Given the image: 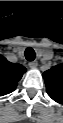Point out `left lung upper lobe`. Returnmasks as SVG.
<instances>
[{"mask_svg":"<svg viewBox=\"0 0 63 123\" xmlns=\"http://www.w3.org/2000/svg\"><path fill=\"white\" fill-rule=\"evenodd\" d=\"M48 95L56 102H63V64L43 73Z\"/></svg>","mask_w":63,"mask_h":123,"instance_id":"obj_1","label":"left lung upper lobe"}]
</instances>
